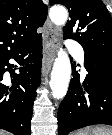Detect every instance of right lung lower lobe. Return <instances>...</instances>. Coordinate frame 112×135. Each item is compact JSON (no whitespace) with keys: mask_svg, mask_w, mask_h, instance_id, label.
<instances>
[{"mask_svg":"<svg viewBox=\"0 0 112 135\" xmlns=\"http://www.w3.org/2000/svg\"><path fill=\"white\" fill-rule=\"evenodd\" d=\"M10 59L20 65V73L12 72ZM42 36L0 59V128L14 135H30L33 102L40 84ZM7 66L8 69L4 67ZM10 71L13 86L2 83ZM15 70V69H14Z\"/></svg>","mask_w":112,"mask_h":135,"instance_id":"98d812e1","label":"right lung lower lobe"}]
</instances>
